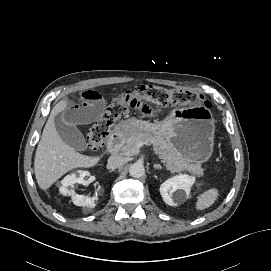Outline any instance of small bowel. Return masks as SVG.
<instances>
[{"label":"small bowel","mask_w":271,"mask_h":271,"mask_svg":"<svg viewBox=\"0 0 271 271\" xmlns=\"http://www.w3.org/2000/svg\"><path fill=\"white\" fill-rule=\"evenodd\" d=\"M116 100L125 101L128 104V112H136L142 119L155 121L159 118V110L140 98L133 90L121 92ZM103 96L94 90H86L81 93L78 102L62 105L48 122V128L56 131L72 147L81 148L83 138L79 126L89 124L97 119L104 110Z\"/></svg>","instance_id":"c3829d8e"}]
</instances>
